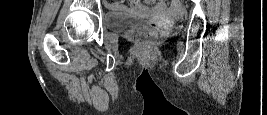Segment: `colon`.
Masks as SVG:
<instances>
[{
	"instance_id": "colon-1",
	"label": "colon",
	"mask_w": 267,
	"mask_h": 115,
	"mask_svg": "<svg viewBox=\"0 0 267 115\" xmlns=\"http://www.w3.org/2000/svg\"><path fill=\"white\" fill-rule=\"evenodd\" d=\"M137 38L141 41L151 42L157 38V32L153 29H144L137 34Z\"/></svg>"
}]
</instances>
